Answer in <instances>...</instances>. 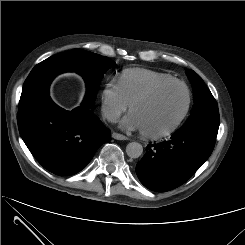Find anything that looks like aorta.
Masks as SVG:
<instances>
[{
	"label": "aorta",
	"mask_w": 245,
	"mask_h": 245,
	"mask_svg": "<svg viewBox=\"0 0 245 245\" xmlns=\"http://www.w3.org/2000/svg\"><path fill=\"white\" fill-rule=\"evenodd\" d=\"M126 153L130 158H139L143 153V147L138 142H131L126 146Z\"/></svg>",
	"instance_id": "1"
}]
</instances>
